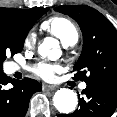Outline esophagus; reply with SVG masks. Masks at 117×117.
<instances>
[{"mask_svg":"<svg viewBox=\"0 0 117 117\" xmlns=\"http://www.w3.org/2000/svg\"><path fill=\"white\" fill-rule=\"evenodd\" d=\"M42 88H43V90H45V91H53V90H56V89H57L56 86H54V85H48V84H44V85L42 86Z\"/></svg>","mask_w":117,"mask_h":117,"instance_id":"esophagus-1","label":"esophagus"}]
</instances>
